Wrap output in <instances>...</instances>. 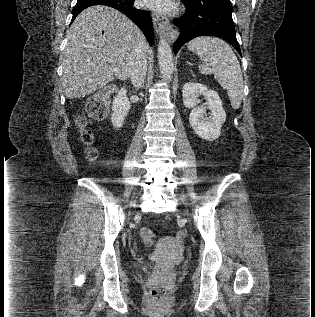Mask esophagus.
<instances>
[{
  "label": "esophagus",
  "mask_w": 315,
  "mask_h": 317,
  "mask_svg": "<svg viewBox=\"0 0 315 317\" xmlns=\"http://www.w3.org/2000/svg\"><path fill=\"white\" fill-rule=\"evenodd\" d=\"M152 19L157 34H166L169 41H174L178 37V31L171 27L166 17L152 13Z\"/></svg>",
  "instance_id": "34e87169"
}]
</instances>
